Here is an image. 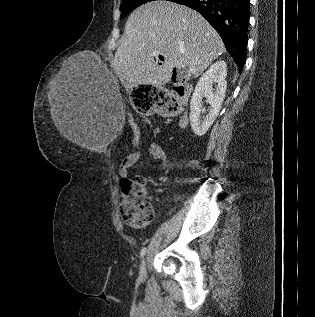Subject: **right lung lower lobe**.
<instances>
[{
    "label": "right lung lower lobe",
    "mask_w": 315,
    "mask_h": 317,
    "mask_svg": "<svg viewBox=\"0 0 315 317\" xmlns=\"http://www.w3.org/2000/svg\"><path fill=\"white\" fill-rule=\"evenodd\" d=\"M196 11L214 27L221 36L226 50L240 71L246 60L250 0H175Z\"/></svg>",
    "instance_id": "98d812e1"
}]
</instances>
